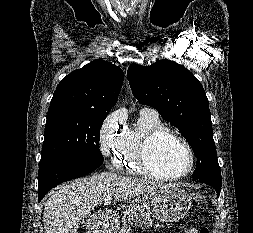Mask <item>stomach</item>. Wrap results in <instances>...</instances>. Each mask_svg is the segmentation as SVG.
Listing matches in <instances>:
<instances>
[{"instance_id":"0dacf381","label":"stomach","mask_w":253,"mask_h":233,"mask_svg":"<svg viewBox=\"0 0 253 233\" xmlns=\"http://www.w3.org/2000/svg\"><path fill=\"white\" fill-rule=\"evenodd\" d=\"M191 204L190 194L176 185L159 187L146 193L143 198L147 212L165 223L177 222L184 218Z\"/></svg>"}]
</instances>
